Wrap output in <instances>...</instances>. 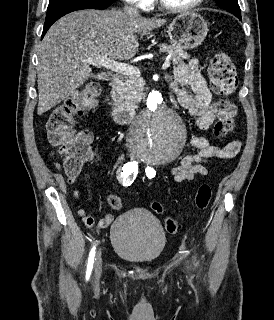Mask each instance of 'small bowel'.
Segmentation results:
<instances>
[{
  "label": "small bowel",
  "mask_w": 274,
  "mask_h": 320,
  "mask_svg": "<svg viewBox=\"0 0 274 320\" xmlns=\"http://www.w3.org/2000/svg\"><path fill=\"white\" fill-rule=\"evenodd\" d=\"M186 85L191 86L193 95L185 90ZM170 86L178 103L195 118L196 127L199 130H208L217 116V102L213 99L206 79L200 72L197 60L192 59L186 64L179 65L170 77ZM190 143L197 152L184 155L179 164L171 169V174L178 183L190 181L198 175H206L207 165L212 159L232 158L241 148L240 140H233L224 147H219L207 136H192ZM50 151L55 153L57 148L52 146ZM88 158L91 160L93 170L100 165L101 155L98 152L90 151ZM123 161V156L117 158L112 168V174L118 171ZM45 162L51 163L52 157L46 156ZM55 167L61 170L59 164H55ZM73 197L79 200L80 194L77 190L73 191ZM77 215L86 227L94 226V219L85 208H78ZM113 220L114 217L108 214L99 221L98 227L105 228Z\"/></svg>",
  "instance_id": "1"
}]
</instances>
